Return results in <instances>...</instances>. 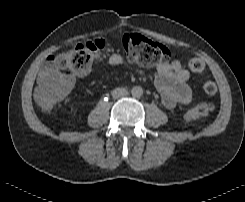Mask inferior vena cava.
I'll use <instances>...</instances> for the list:
<instances>
[{
  "instance_id": "obj_1",
  "label": "inferior vena cava",
  "mask_w": 245,
  "mask_h": 202,
  "mask_svg": "<svg viewBox=\"0 0 245 202\" xmlns=\"http://www.w3.org/2000/svg\"><path fill=\"white\" fill-rule=\"evenodd\" d=\"M128 95V91L125 88H116L112 91V97L118 99Z\"/></svg>"
}]
</instances>
